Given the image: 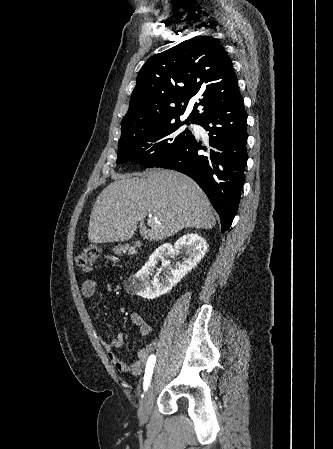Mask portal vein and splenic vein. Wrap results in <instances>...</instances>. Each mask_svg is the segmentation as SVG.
<instances>
[{"mask_svg":"<svg viewBox=\"0 0 333 449\" xmlns=\"http://www.w3.org/2000/svg\"><path fill=\"white\" fill-rule=\"evenodd\" d=\"M153 217V215L152 214H149V218H152Z\"/></svg>","mask_w":333,"mask_h":449,"instance_id":"portal-vein-and-splenic-vein-1","label":"portal vein and splenic vein"}]
</instances>
